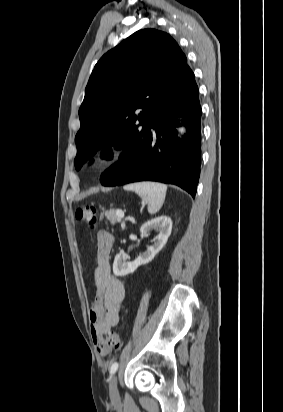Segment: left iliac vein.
<instances>
[{
	"instance_id": "left-iliac-vein-1",
	"label": "left iliac vein",
	"mask_w": 283,
	"mask_h": 412,
	"mask_svg": "<svg viewBox=\"0 0 283 412\" xmlns=\"http://www.w3.org/2000/svg\"><path fill=\"white\" fill-rule=\"evenodd\" d=\"M117 382H118L117 375H114L110 378L109 396L112 402H117L120 399Z\"/></svg>"
}]
</instances>
